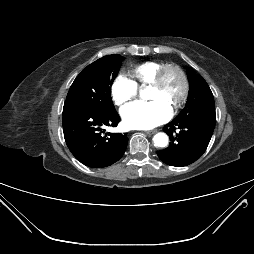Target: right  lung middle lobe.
<instances>
[{
    "label": "right lung middle lobe",
    "mask_w": 254,
    "mask_h": 254,
    "mask_svg": "<svg viewBox=\"0 0 254 254\" xmlns=\"http://www.w3.org/2000/svg\"><path fill=\"white\" fill-rule=\"evenodd\" d=\"M124 57L113 54L104 56L88 65L74 80L65 103H74L97 111H113L110 86Z\"/></svg>",
    "instance_id": "1"
}]
</instances>
